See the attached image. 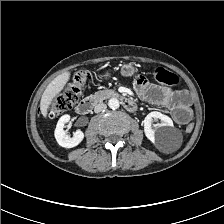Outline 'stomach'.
<instances>
[{"instance_id": "1", "label": "stomach", "mask_w": 224, "mask_h": 224, "mask_svg": "<svg viewBox=\"0 0 224 224\" xmlns=\"http://www.w3.org/2000/svg\"><path fill=\"white\" fill-rule=\"evenodd\" d=\"M120 72L124 77H132L135 74L134 67L131 63L123 64Z\"/></svg>"}]
</instances>
